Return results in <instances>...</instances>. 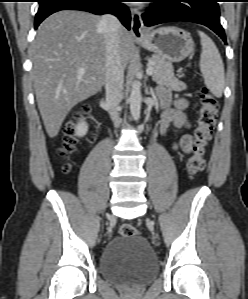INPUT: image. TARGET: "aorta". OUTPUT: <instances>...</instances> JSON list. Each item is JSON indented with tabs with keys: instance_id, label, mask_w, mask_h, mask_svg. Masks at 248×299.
<instances>
[{
	"instance_id": "aorta-1",
	"label": "aorta",
	"mask_w": 248,
	"mask_h": 299,
	"mask_svg": "<svg viewBox=\"0 0 248 299\" xmlns=\"http://www.w3.org/2000/svg\"><path fill=\"white\" fill-rule=\"evenodd\" d=\"M141 84L139 81H134L129 97L130 112L135 121H138L141 113Z\"/></svg>"
}]
</instances>
